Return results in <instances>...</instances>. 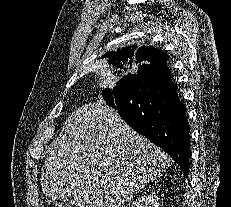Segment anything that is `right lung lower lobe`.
<instances>
[{
	"instance_id": "98d812e1",
	"label": "right lung lower lobe",
	"mask_w": 231,
	"mask_h": 207,
	"mask_svg": "<svg viewBox=\"0 0 231 207\" xmlns=\"http://www.w3.org/2000/svg\"><path fill=\"white\" fill-rule=\"evenodd\" d=\"M103 98L138 133L167 152L189 173L190 126L170 70L146 65L122 78Z\"/></svg>"
}]
</instances>
